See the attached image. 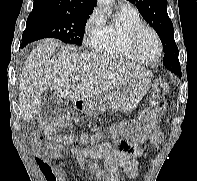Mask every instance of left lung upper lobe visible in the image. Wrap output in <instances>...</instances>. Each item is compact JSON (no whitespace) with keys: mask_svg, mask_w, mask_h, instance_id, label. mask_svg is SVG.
<instances>
[{"mask_svg":"<svg viewBox=\"0 0 197 181\" xmlns=\"http://www.w3.org/2000/svg\"><path fill=\"white\" fill-rule=\"evenodd\" d=\"M135 3L142 17L159 35L164 49V66L176 74H181L178 48L174 41V29L167 14V0H127Z\"/></svg>","mask_w":197,"mask_h":181,"instance_id":"5c2ea615","label":"left lung upper lobe"}]
</instances>
